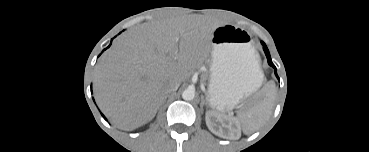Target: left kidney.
Returning <instances> with one entry per match:
<instances>
[{"instance_id":"1","label":"left kidney","mask_w":369,"mask_h":152,"mask_svg":"<svg viewBox=\"0 0 369 152\" xmlns=\"http://www.w3.org/2000/svg\"><path fill=\"white\" fill-rule=\"evenodd\" d=\"M205 119L207 127L213 134L226 139L239 138L240 127L234 118L207 111Z\"/></svg>"}]
</instances>
